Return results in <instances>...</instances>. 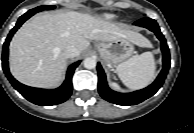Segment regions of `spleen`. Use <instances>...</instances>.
Wrapping results in <instances>:
<instances>
[{
    "label": "spleen",
    "mask_w": 194,
    "mask_h": 133,
    "mask_svg": "<svg viewBox=\"0 0 194 133\" xmlns=\"http://www.w3.org/2000/svg\"><path fill=\"white\" fill-rule=\"evenodd\" d=\"M155 60L151 52L135 55L116 67L121 81L130 89H141L155 77Z\"/></svg>",
    "instance_id": "3e777b00"
}]
</instances>
